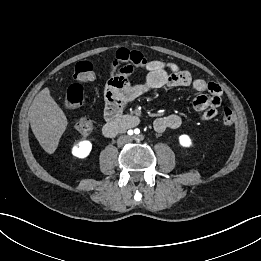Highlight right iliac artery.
<instances>
[{
    "label": "right iliac artery",
    "instance_id": "obj_1",
    "mask_svg": "<svg viewBox=\"0 0 261 261\" xmlns=\"http://www.w3.org/2000/svg\"><path fill=\"white\" fill-rule=\"evenodd\" d=\"M131 134H133V132L131 131V132H129V135H131Z\"/></svg>",
    "mask_w": 261,
    "mask_h": 261
}]
</instances>
